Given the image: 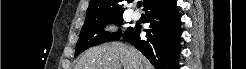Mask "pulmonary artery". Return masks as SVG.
I'll return each mask as SVG.
<instances>
[{"instance_id":"e3ab8cb5","label":"pulmonary artery","mask_w":246,"mask_h":69,"mask_svg":"<svg viewBox=\"0 0 246 69\" xmlns=\"http://www.w3.org/2000/svg\"><path fill=\"white\" fill-rule=\"evenodd\" d=\"M140 12L139 11H133V13H132V17L134 18V19H139L140 18Z\"/></svg>"}]
</instances>
